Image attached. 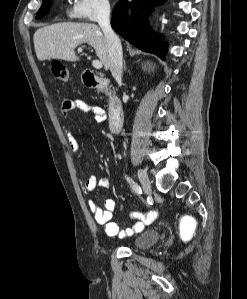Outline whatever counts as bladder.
<instances>
[{"label":"bladder","instance_id":"31cf9c89","mask_svg":"<svg viewBox=\"0 0 247 299\" xmlns=\"http://www.w3.org/2000/svg\"><path fill=\"white\" fill-rule=\"evenodd\" d=\"M160 233L155 229L144 230L132 240V246L136 249H147L158 242Z\"/></svg>","mask_w":247,"mask_h":299}]
</instances>
